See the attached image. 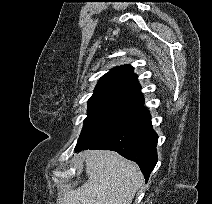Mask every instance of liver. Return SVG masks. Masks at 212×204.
<instances>
[{
  "label": "liver",
  "instance_id": "1",
  "mask_svg": "<svg viewBox=\"0 0 212 204\" xmlns=\"http://www.w3.org/2000/svg\"><path fill=\"white\" fill-rule=\"evenodd\" d=\"M88 180L77 189H65L58 204H131L144 177L134 162L113 151H85Z\"/></svg>",
  "mask_w": 212,
  "mask_h": 204
}]
</instances>
